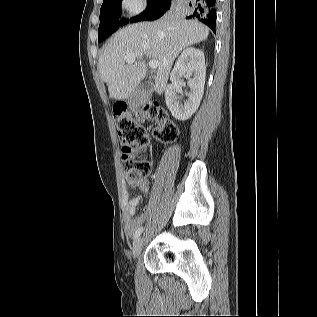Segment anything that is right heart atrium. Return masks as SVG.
Masks as SVG:
<instances>
[{
	"mask_svg": "<svg viewBox=\"0 0 317 317\" xmlns=\"http://www.w3.org/2000/svg\"><path fill=\"white\" fill-rule=\"evenodd\" d=\"M120 6L127 15L136 16L144 10L146 0H121Z\"/></svg>",
	"mask_w": 317,
	"mask_h": 317,
	"instance_id": "1",
	"label": "right heart atrium"
}]
</instances>
